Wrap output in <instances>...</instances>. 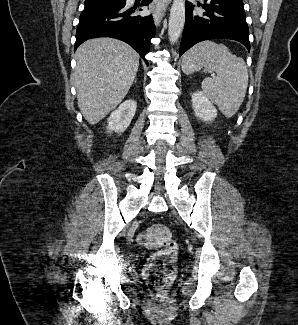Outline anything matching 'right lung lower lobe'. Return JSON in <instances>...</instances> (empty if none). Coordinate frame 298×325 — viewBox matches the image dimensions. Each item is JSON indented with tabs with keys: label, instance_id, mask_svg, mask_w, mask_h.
<instances>
[{
	"label": "right lung lower lobe",
	"instance_id": "1",
	"mask_svg": "<svg viewBox=\"0 0 298 325\" xmlns=\"http://www.w3.org/2000/svg\"><path fill=\"white\" fill-rule=\"evenodd\" d=\"M151 1L142 0L141 6ZM125 5L126 0L85 6L79 18L75 49L87 39L112 37L128 43L145 60V55L150 51V39L154 37L156 29L152 15H134L135 10Z\"/></svg>",
	"mask_w": 298,
	"mask_h": 325
}]
</instances>
